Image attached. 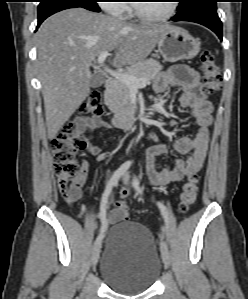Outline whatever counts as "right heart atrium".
<instances>
[{
  "label": "right heart atrium",
  "mask_w": 248,
  "mask_h": 299,
  "mask_svg": "<svg viewBox=\"0 0 248 299\" xmlns=\"http://www.w3.org/2000/svg\"><path fill=\"white\" fill-rule=\"evenodd\" d=\"M101 6L110 15L122 16L127 13V5L124 0H102Z\"/></svg>",
  "instance_id": "1"
}]
</instances>
